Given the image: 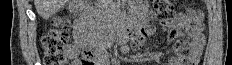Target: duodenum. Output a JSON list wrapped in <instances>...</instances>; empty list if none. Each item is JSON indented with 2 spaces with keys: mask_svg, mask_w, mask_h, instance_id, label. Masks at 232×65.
Returning <instances> with one entry per match:
<instances>
[{
  "mask_svg": "<svg viewBox=\"0 0 232 65\" xmlns=\"http://www.w3.org/2000/svg\"><path fill=\"white\" fill-rule=\"evenodd\" d=\"M73 9L80 16L78 21L85 28L89 27L91 10L86 2L81 0L75 1L73 3ZM145 26L146 24L143 19L135 17L128 23L119 25L116 28L90 31V41L98 53L116 42L126 44L136 36L140 29H145Z\"/></svg>",
  "mask_w": 232,
  "mask_h": 65,
  "instance_id": "obj_1",
  "label": "duodenum"
}]
</instances>
